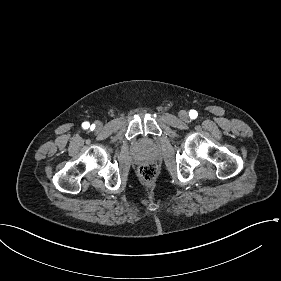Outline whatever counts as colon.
Masks as SVG:
<instances>
[{"mask_svg": "<svg viewBox=\"0 0 281 281\" xmlns=\"http://www.w3.org/2000/svg\"><path fill=\"white\" fill-rule=\"evenodd\" d=\"M140 174L144 180L151 181L156 175L155 168L153 165H143L140 168Z\"/></svg>", "mask_w": 281, "mask_h": 281, "instance_id": "5ec220e1", "label": "colon"}]
</instances>
